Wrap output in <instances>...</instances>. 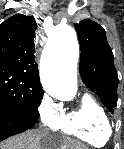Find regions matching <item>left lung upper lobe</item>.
<instances>
[{
  "instance_id": "obj_1",
  "label": "left lung upper lobe",
  "mask_w": 124,
  "mask_h": 149,
  "mask_svg": "<svg viewBox=\"0 0 124 149\" xmlns=\"http://www.w3.org/2000/svg\"><path fill=\"white\" fill-rule=\"evenodd\" d=\"M81 46L80 75L106 108L113 112L117 105L118 74L105 30L92 20L74 24Z\"/></svg>"
}]
</instances>
